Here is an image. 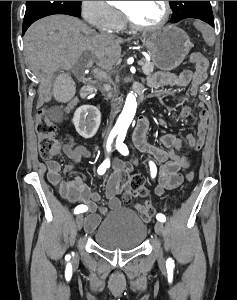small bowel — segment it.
Listing matches in <instances>:
<instances>
[{
	"mask_svg": "<svg viewBox=\"0 0 237 300\" xmlns=\"http://www.w3.org/2000/svg\"><path fill=\"white\" fill-rule=\"evenodd\" d=\"M208 63L204 65H195V70H183L180 72H157L147 79V85L150 87H160L164 85L189 87L188 94H182L174 97V100L185 102L184 107L179 113V118L183 119L191 115L193 102L192 96L196 95L201 84L207 76ZM76 105V101H71L66 108L69 112ZM199 123L196 135L188 134L186 142L188 146L197 151L204 144L207 133L208 111L204 104L199 105ZM150 120L148 116H140L134 131L132 133V145L139 152L151 156L155 161L161 164L157 186L155 192L162 196L167 189H173L179 186L183 180L182 173L187 170L192 162V157L182 151V141L172 134H164L159 141L163 148L152 144L148 140V131ZM64 153L72 160H79L83 157H90L91 152L85 147L65 146ZM47 178L49 182L57 189L59 194L68 202L73 204L85 205L87 207V216L85 219V229L94 230L100 223L102 216L107 213V209L116 211L122 207V200L118 197L121 191L120 178L123 172L131 170L130 165L123 161H115L113 171L110 175L105 188V197L108 201L107 208L100 206L101 195L86 184L80 176H75L67 181L61 175V165L57 161L50 160L46 163ZM130 194L124 196V201H129ZM135 209L148 221L144 213V206L135 204Z\"/></svg>",
	"mask_w": 237,
	"mask_h": 300,
	"instance_id": "small-bowel-1",
	"label": "small bowel"
}]
</instances>
